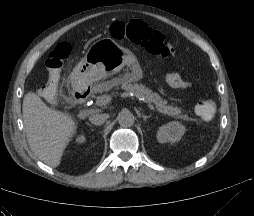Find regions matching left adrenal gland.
<instances>
[{
  "label": "left adrenal gland",
  "instance_id": "obj_1",
  "mask_svg": "<svg viewBox=\"0 0 254 216\" xmlns=\"http://www.w3.org/2000/svg\"><path fill=\"white\" fill-rule=\"evenodd\" d=\"M148 118H149L148 116L143 115V119H144L145 122L147 121Z\"/></svg>",
  "mask_w": 254,
  "mask_h": 216
}]
</instances>
